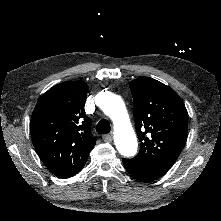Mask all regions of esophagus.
I'll list each match as a JSON object with an SVG mask.
<instances>
[{"label":"esophagus","mask_w":221,"mask_h":221,"mask_svg":"<svg viewBox=\"0 0 221 221\" xmlns=\"http://www.w3.org/2000/svg\"><path fill=\"white\" fill-rule=\"evenodd\" d=\"M102 138H103V140H104L105 142H107V143H111L112 140H113L111 133H110V134H105V135H103Z\"/></svg>","instance_id":"esophagus-1"}]
</instances>
